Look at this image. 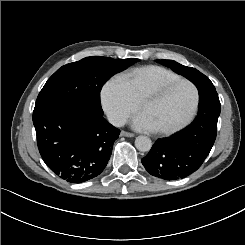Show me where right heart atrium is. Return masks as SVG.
<instances>
[{"label": "right heart atrium", "instance_id": "d8ad5b80", "mask_svg": "<svg viewBox=\"0 0 245 245\" xmlns=\"http://www.w3.org/2000/svg\"><path fill=\"white\" fill-rule=\"evenodd\" d=\"M101 101L110 121L116 125L126 123L137 109V102L115 77L103 86Z\"/></svg>", "mask_w": 245, "mask_h": 245}]
</instances>
